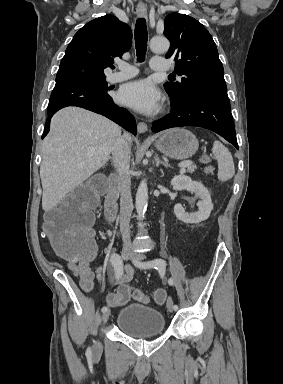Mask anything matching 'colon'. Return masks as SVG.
<instances>
[{
    "label": "colon",
    "instance_id": "5ec220e1",
    "mask_svg": "<svg viewBox=\"0 0 283 384\" xmlns=\"http://www.w3.org/2000/svg\"><path fill=\"white\" fill-rule=\"evenodd\" d=\"M102 188L101 178L82 184L68 193L46 214L45 234L61 257L74 262L90 260L94 257L96 247L91 225L93 210ZM131 296L140 302L149 301L148 296L141 290L123 285L117 292L107 296V303L111 307L120 306L125 304ZM153 299L157 304L164 303L165 291H155Z\"/></svg>",
    "mask_w": 283,
    "mask_h": 384
}]
</instances>
